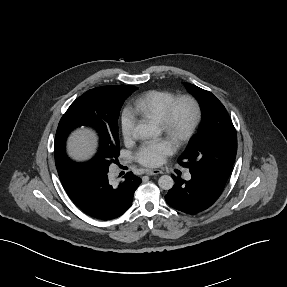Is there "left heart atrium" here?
Returning a JSON list of instances; mask_svg holds the SVG:
<instances>
[{
    "instance_id": "left-heart-atrium-1",
    "label": "left heart atrium",
    "mask_w": 287,
    "mask_h": 287,
    "mask_svg": "<svg viewBox=\"0 0 287 287\" xmlns=\"http://www.w3.org/2000/svg\"><path fill=\"white\" fill-rule=\"evenodd\" d=\"M175 151V145L169 140L145 142L137 152V160L148 167L160 166Z\"/></svg>"
}]
</instances>
